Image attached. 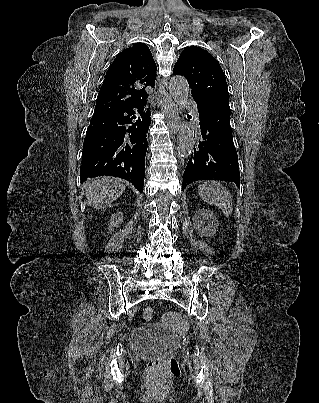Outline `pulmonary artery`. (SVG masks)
<instances>
[{"label": "pulmonary artery", "mask_w": 319, "mask_h": 403, "mask_svg": "<svg viewBox=\"0 0 319 403\" xmlns=\"http://www.w3.org/2000/svg\"><path fill=\"white\" fill-rule=\"evenodd\" d=\"M184 104H185L186 106H192V102H191L190 100H188V99H185V100H184Z\"/></svg>", "instance_id": "1"}]
</instances>
